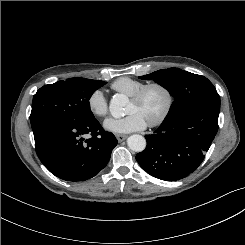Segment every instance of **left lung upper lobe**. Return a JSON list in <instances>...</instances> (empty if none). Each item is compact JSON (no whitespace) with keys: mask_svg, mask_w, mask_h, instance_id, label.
<instances>
[{"mask_svg":"<svg viewBox=\"0 0 245 245\" xmlns=\"http://www.w3.org/2000/svg\"><path fill=\"white\" fill-rule=\"evenodd\" d=\"M139 78L153 79L174 97L175 101L163 123H169L182 114L198 108H212L220 111V97L213 84L202 75L179 68H170Z\"/></svg>","mask_w":245,"mask_h":245,"instance_id":"1","label":"left lung upper lobe"}]
</instances>
